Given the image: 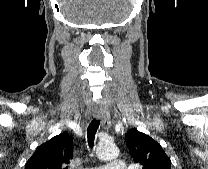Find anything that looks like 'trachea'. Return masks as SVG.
I'll list each match as a JSON object with an SVG mask.
<instances>
[{"mask_svg": "<svg viewBox=\"0 0 208 169\" xmlns=\"http://www.w3.org/2000/svg\"><path fill=\"white\" fill-rule=\"evenodd\" d=\"M99 125H100V120L94 118L87 128L88 143L91 149L93 148L95 135Z\"/></svg>", "mask_w": 208, "mask_h": 169, "instance_id": "1", "label": "trachea"}]
</instances>
